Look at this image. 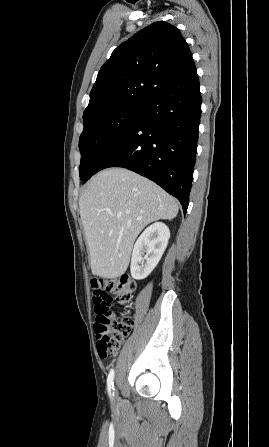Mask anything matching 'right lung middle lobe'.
<instances>
[{"mask_svg": "<svg viewBox=\"0 0 269 447\" xmlns=\"http://www.w3.org/2000/svg\"><path fill=\"white\" fill-rule=\"evenodd\" d=\"M144 104L124 106L84 122L79 139L81 163L79 175L85 182L91 177L92 166L102 154L141 117Z\"/></svg>", "mask_w": 269, "mask_h": 447, "instance_id": "dd1d6c3e", "label": "right lung middle lobe"}]
</instances>
